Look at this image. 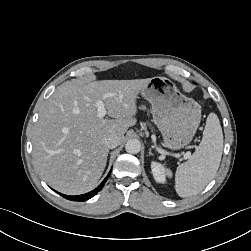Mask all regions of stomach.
<instances>
[{
	"instance_id": "stomach-1",
	"label": "stomach",
	"mask_w": 251,
	"mask_h": 251,
	"mask_svg": "<svg viewBox=\"0 0 251 251\" xmlns=\"http://www.w3.org/2000/svg\"><path fill=\"white\" fill-rule=\"evenodd\" d=\"M141 95L152 106L153 121L165 147L178 150L192 141L201 120L198 103L183 95L166 77L151 78Z\"/></svg>"
}]
</instances>
